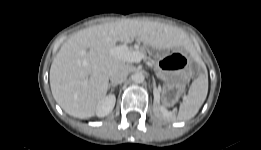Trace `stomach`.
<instances>
[{
  "mask_svg": "<svg viewBox=\"0 0 261 150\" xmlns=\"http://www.w3.org/2000/svg\"><path fill=\"white\" fill-rule=\"evenodd\" d=\"M157 56L156 71L167 87L181 88L186 83L190 73L189 57L179 51L172 53H155Z\"/></svg>",
  "mask_w": 261,
  "mask_h": 150,
  "instance_id": "1",
  "label": "stomach"
}]
</instances>
